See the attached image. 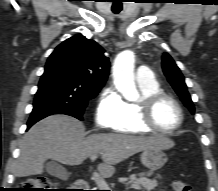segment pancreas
<instances>
[{
    "label": "pancreas",
    "instance_id": "1",
    "mask_svg": "<svg viewBox=\"0 0 218 191\" xmlns=\"http://www.w3.org/2000/svg\"><path fill=\"white\" fill-rule=\"evenodd\" d=\"M119 181L122 183H126L129 188H133L136 190L145 189L147 191H151L158 185L156 180L148 179L143 175H140V177H137L136 175H131L128 178H120Z\"/></svg>",
    "mask_w": 218,
    "mask_h": 191
}]
</instances>
